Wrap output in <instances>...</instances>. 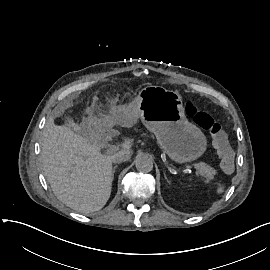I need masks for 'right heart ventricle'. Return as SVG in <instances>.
<instances>
[{"label":"right heart ventricle","mask_w":270,"mask_h":270,"mask_svg":"<svg viewBox=\"0 0 270 270\" xmlns=\"http://www.w3.org/2000/svg\"><path fill=\"white\" fill-rule=\"evenodd\" d=\"M134 167L136 168V169H138V167L136 166V164L134 163Z\"/></svg>","instance_id":"1"}]
</instances>
